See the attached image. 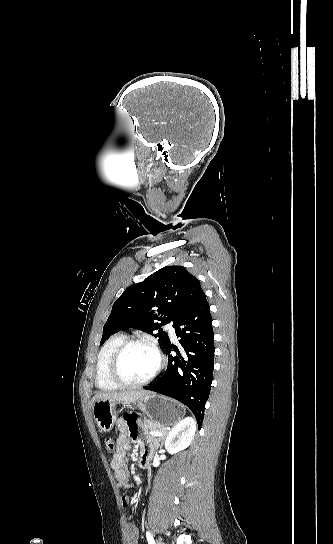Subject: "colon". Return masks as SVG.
<instances>
[{
	"label": "colon",
	"mask_w": 333,
	"mask_h": 544,
	"mask_svg": "<svg viewBox=\"0 0 333 544\" xmlns=\"http://www.w3.org/2000/svg\"><path fill=\"white\" fill-rule=\"evenodd\" d=\"M104 444H105V448L108 452H113L114 449H115V443L112 439V437L110 436H105L104 438Z\"/></svg>",
	"instance_id": "colon-1"
}]
</instances>
